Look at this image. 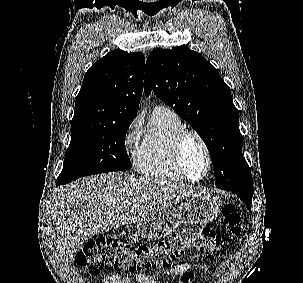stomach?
<instances>
[{"label": "stomach", "mask_w": 303, "mask_h": 283, "mask_svg": "<svg viewBox=\"0 0 303 283\" xmlns=\"http://www.w3.org/2000/svg\"><path fill=\"white\" fill-rule=\"evenodd\" d=\"M220 199L199 191L172 200L164 209L137 222V231L148 240L168 236L181 223L201 224L214 220L220 212Z\"/></svg>", "instance_id": "stomach-1"}]
</instances>
